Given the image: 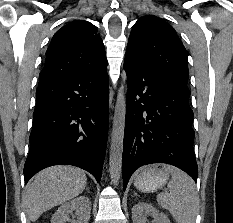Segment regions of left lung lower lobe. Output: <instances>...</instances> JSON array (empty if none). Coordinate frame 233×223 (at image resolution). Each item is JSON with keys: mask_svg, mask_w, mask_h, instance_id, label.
Masks as SVG:
<instances>
[{"mask_svg": "<svg viewBox=\"0 0 233 223\" xmlns=\"http://www.w3.org/2000/svg\"><path fill=\"white\" fill-rule=\"evenodd\" d=\"M124 69L127 109L122 157L123 189L140 166L167 163L188 173L195 182L198 167L193 150V111L187 85L154 72L126 52Z\"/></svg>", "mask_w": 233, "mask_h": 223, "instance_id": "left-lung-lower-lobe-1", "label": "left lung lower lobe"}]
</instances>
